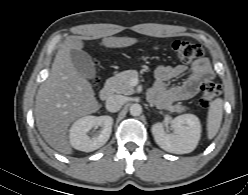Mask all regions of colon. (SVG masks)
Listing matches in <instances>:
<instances>
[{"label":"colon","mask_w":248,"mask_h":195,"mask_svg":"<svg viewBox=\"0 0 248 195\" xmlns=\"http://www.w3.org/2000/svg\"><path fill=\"white\" fill-rule=\"evenodd\" d=\"M171 49L181 63H191L204 55L203 47L200 44L182 39L175 40ZM220 92V85L214 82H205L201 87L200 106L207 108Z\"/></svg>","instance_id":"1"}]
</instances>
